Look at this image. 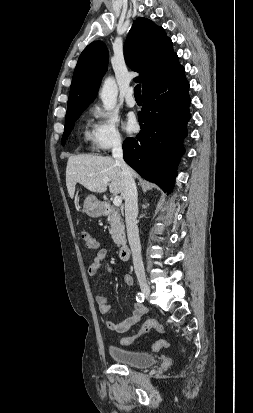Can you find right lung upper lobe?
Masks as SVG:
<instances>
[{
	"instance_id": "1",
	"label": "right lung upper lobe",
	"mask_w": 253,
	"mask_h": 413,
	"mask_svg": "<svg viewBox=\"0 0 253 413\" xmlns=\"http://www.w3.org/2000/svg\"><path fill=\"white\" fill-rule=\"evenodd\" d=\"M124 56L127 65L140 74L135 81L142 83V92L182 67L163 28L145 18H137L133 23ZM107 64L108 49L103 42H92L83 50L73 74L65 119L82 113L95 99Z\"/></svg>"
}]
</instances>
